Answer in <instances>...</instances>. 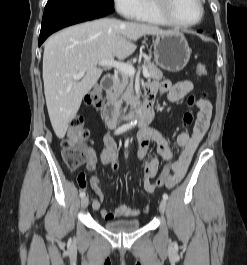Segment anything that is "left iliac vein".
I'll list each match as a JSON object with an SVG mask.
<instances>
[{
    "instance_id": "1",
    "label": "left iliac vein",
    "mask_w": 247,
    "mask_h": 265,
    "mask_svg": "<svg viewBox=\"0 0 247 265\" xmlns=\"http://www.w3.org/2000/svg\"><path fill=\"white\" fill-rule=\"evenodd\" d=\"M166 208H167V201L165 199H162L159 205L160 212L164 214L166 211Z\"/></svg>"
}]
</instances>
